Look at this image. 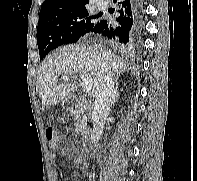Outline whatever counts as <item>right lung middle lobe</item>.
I'll return each mask as SVG.
<instances>
[{"label": "right lung middle lobe", "instance_id": "1", "mask_svg": "<svg viewBox=\"0 0 197 181\" xmlns=\"http://www.w3.org/2000/svg\"><path fill=\"white\" fill-rule=\"evenodd\" d=\"M98 16H92L86 7L61 15L39 20L37 44L40 59L60 45L75 43L81 36L91 32Z\"/></svg>", "mask_w": 197, "mask_h": 181}]
</instances>
